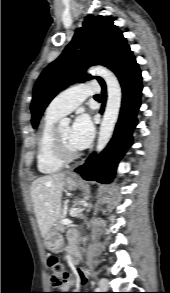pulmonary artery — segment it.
Listing matches in <instances>:
<instances>
[{"label": "pulmonary artery", "instance_id": "1", "mask_svg": "<svg viewBox=\"0 0 170 293\" xmlns=\"http://www.w3.org/2000/svg\"><path fill=\"white\" fill-rule=\"evenodd\" d=\"M99 85L86 83L70 87L58 94L48 105L46 112L59 117L65 116L78 107L87 96L97 95Z\"/></svg>", "mask_w": 170, "mask_h": 293}]
</instances>
